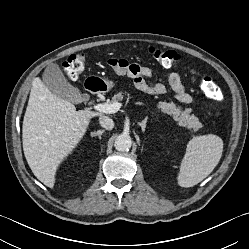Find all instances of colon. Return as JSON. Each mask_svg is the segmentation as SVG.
Wrapping results in <instances>:
<instances>
[{"label":"colon","instance_id":"colon-1","mask_svg":"<svg viewBox=\"0 0 249 249\" xmlns=\"http://www.w3.org/2000/svg\"><path fill=\"white\" fill-rule=\"evenodd\" d=\"M149 54L161 65L171 67L180 63L181 57L174 50H163L152 47ZM108 64L116 71H125L128 62L124 59H110ZM85 69V57L81 53L70 55L65 62L62 63V70L70 79H77ZM201 89L204 95L212 100L220 99V90L214 80L209 76H202L200 81Z\"/></svg>","mask_w":249,"mask_h":249}]
</instances>
